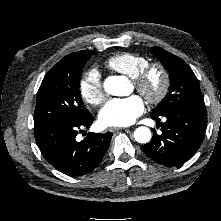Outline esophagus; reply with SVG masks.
Wrapping results in <instances>:
<instances>
[{
	"label": "esophagus",
	"instance_id": "esophagus-1",
	"mask_svg": "<svg viewBox=\"0 0 221 221\" xmlns=\"http://www.w3.org/2000/svg\"><path fill=\"white\" fill-rule=\"evenodd\" d=\"M118 130H128V128H125V127H111V128H109L110 132H115Z\"/></svg>",
	"mask_w": 221,
	"mask_h": 221
}]
</instances>
